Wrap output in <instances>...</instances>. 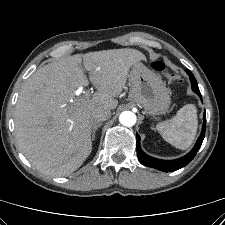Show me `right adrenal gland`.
I'll return each mask as SVG.
<instances>
[{"label": "right adrenal gland", "instance_id": "1", "mask_svg": "<svg viewBox=\"0 0 225 225\" xmlns=\"http://www.w3.org/2000/svg\"><path fill=\"white\" fill-rule=\"evenodd\" d=\"M102 125V123L94 124L93 129H92V140H95L96 138V131L98 128Z\"/></svg>", "mask_w": 225, "mask_h": 225}]
</instances>
